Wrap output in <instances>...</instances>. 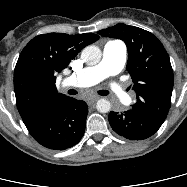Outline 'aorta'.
Masks as SVG:
<instances>
[{"label": "aorta", "mask_w": 187, "mask_h": 187, "mask_svg": "<svg viewBox=\"0 0 187 187\" xmlns=\"http://www.w3.org/2000/svg\"><path fill=\"white\" fill-rule=\"evenodd\" d=\"M102 57L101 50L95 45H89L82 51V59L87 65H96L100 62ZM96 109L100 113H107L111 109V103L102 98L96 103Z\"/></svg>", "instance_id": "762f6f07"}]
</instances>
